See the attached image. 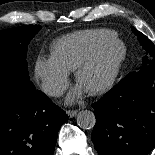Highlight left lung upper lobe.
<instances>
[{
    "label": "left lung upper lobe",
    "mask_w": 155,
    "mask_h": 155,
    "mask_svg": "<svg viewBox=\"0 0 155 155\" xmlns=\"http://www.w3.org/2000/svg\"><path fill=\"white\" fill-rule=\"evenodd\" d=\"M133 33L137 36L141 46L146 52V55L142 59V65L135 71H139L147 66L155 67V45L141 32L137 31L134 27H132Z\"/></svg>",
    "instance_id": "left-lung-upper-lobe-1"
}]
</instances>
